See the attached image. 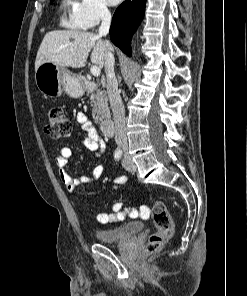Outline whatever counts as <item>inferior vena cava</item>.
Masks as SVG:
<instances>
[{"mask_svg": "<svg viewBox=\"0 0 247 296\" xmlns=\"http://www.w3.org/2000/svg\"><path fill=\"white\" fill-rule=\"evenodd\" d=\"M102 23L99 28V36H106L109 32L111 24V13L106 8L101 9ZM107 47L105 53V73H106V87L110 101V106L113 112L114 124H115V142L119 148L123 150L127 149V137H126V122H125V109L118 90V83L114 72V55L113 48L109 41L105 40Z\"/></svg>", "mask_w": 247, "mask_h": 296, "instance_id": "obj_1", "label": "inferior vena cava"}]
</instances>
